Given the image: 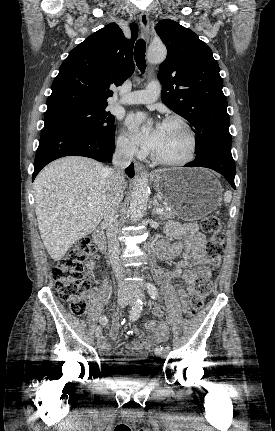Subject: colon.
Segmentation results:
<instances>
[{
  "mask_svg": "<svg viewBox=\"0 0 275 431\" xmlns=\"http://www.w3.org/2000/svg\"><path fill=\"white\" fill-rule=\"evenodd\" d=\"M200 228L204 233L209 234L206 252L213 263L218 265L225 252L224 237L218 217L214 214L205 215L201 219ZM93 252L94 247L90 240L81 239L52 270L55 289L59 297L69 304L71 312L77 316L86 312L87 296L91 291V285L82 273L88 256ZM210 289L209 275H201L196 280L194 296L187 311L190 318L196 316L202 308ZM146 350L150 351L151 347H147ZM149 362L151 365H156L158 360L152 357Z\"/></svg>",
  "mask_w": 275,
  "mask_h": 431,
  "instance_id": "obj_1",
  "label": "colon"
}]
</instances>
